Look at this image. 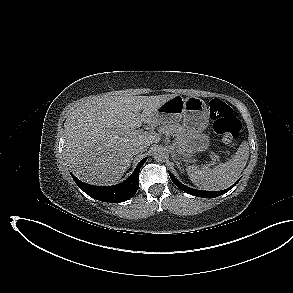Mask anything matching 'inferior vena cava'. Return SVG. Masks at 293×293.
<instances>
[{
	"label": "inferior vena cava",
	"instance_id": "1",
	"mask_svg": "<svg viewBox=\"0 0 293 293\" xmlns=\"http://www.w3.org/2000/svg\"><path fill=\"white\" fill-rule=\"evenodd\" d=\"M146 150V146L144 145H136L133 149V153L134 155L138 154V153H143Z\"/></svg>",
	"mask_w": 293,
	"mask_h": 293
}]
</instances>
